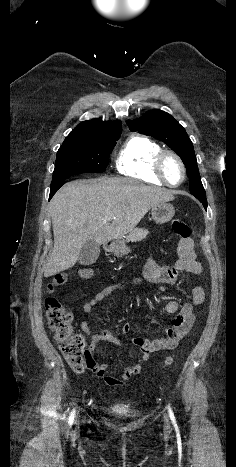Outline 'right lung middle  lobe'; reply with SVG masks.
Here are the masks:
<instances>
[{
  "instance_id": "right-lung-middle-lobe-1",
  "label": "right lung middle lobe",
  "mask_w": 236,
  "mask_h": 467,
  "mask_svg": "<svg viewBox=\"0 0 236 467\" xmlns=\"http://www.w3.org/2000/svg\"><path fill=\"white\" fill-rule=\"evenodd\" d=\"M120 134H69L57 152L51 185L79 173L104 172Z\"/></svg>"
}]
</instances>
